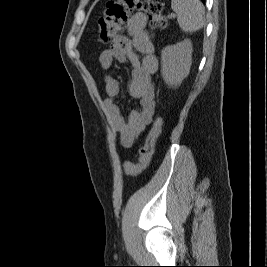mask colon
Returning a JSON list of instances; mask_svg holds the SVG:
<instances>
[{"label":"colon","instance_id":"1","mask_svg":"<svg viewBox=\"0 0 267 267\" xmlns=\"http://www.w3.org/2000/svg\"><path fill=\"white\" fill-rule=\"evenodd\" d=\"M135 10L146 15L152 28L166 27L167 19L162 13L163 6L160 2L155 0H109L103 16L99 19L98 41L103 44L111 41L124 28L129 16ZM161 129L162 119L157 116L139 150L138 162H124L123 169L127 174L138 175L148 167Z\"/></svg>","mask_w":267,"mask_h":267}]
</instances>
